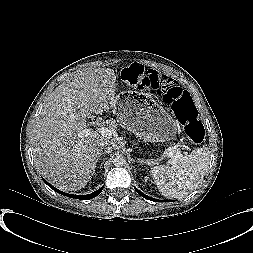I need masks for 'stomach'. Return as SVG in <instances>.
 <instances>
[{"label": "stomach", "mask_w": 253, "mask_h": 253, "mask_svg": "<svg viewBox=\"0 0 253 253\" xmlns=\"http://www.w3.org/2000/svg\"><path fill=\"white\" fill-rule=\"evenodd\" d=\"M113 109L119 122L144 141L167 142L176 135L175 120L146 94L121 92Z\"/></svg>", "instance_id": "0dacf381"}]
</instances>
